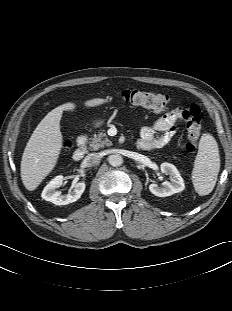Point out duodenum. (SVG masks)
<instances>
[{
  "mask_svg": "<svg viewBox=\"0 0 232 311\" xmlns=\"http://www.w3.org/2000/svg\"><path fill=\"white\" fill-rule=\"evenodd\" d=\"M86 141L87 137L85 135H81L77 139V148L72 154V159L75 162H79L83 159L85 153H86Z\"/></svg>",
  "mask_w": 232,
  "mask_h": 311,
  "instance_id": "obj_1",
  "label": "duodenum"
}]
</instances>
